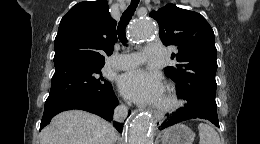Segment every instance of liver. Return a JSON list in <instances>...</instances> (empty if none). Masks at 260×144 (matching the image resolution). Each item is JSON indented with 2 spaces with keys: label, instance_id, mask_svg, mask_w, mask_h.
<instances>
[{
  "label": "liver",
  "instance_id": "obj_1",
  "mask_svg": "<svg viewBox=\"0 0 260 144\" xmlns=\"http://www.w3.org/2000/svg\"><path fill=\"white\" fill-rule=\"evenodd\" d=\"M115 140L110 123L81 110L56 115L40 134V144H114Z\"/></svg>",
  "mask_w": 260,
  "mask_h": 144
}]
</instances>
